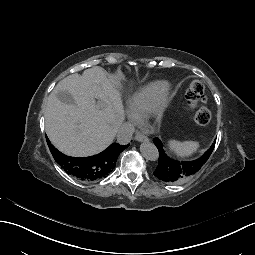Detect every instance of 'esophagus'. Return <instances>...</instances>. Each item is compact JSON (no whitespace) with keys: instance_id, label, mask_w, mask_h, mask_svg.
I'll return each mask as SVG.
<instances>
[{"instance_id":"34e87169","label":"esophagus","mask_w":255,"mask_h":255,"mask_svg":"<svg viewBox=\"0 0 255 255\" xmlns=\"http://www.w3.org/2000/svg\"><path fill=\"white\" fill-rule=\"evenodd\" d=\"M135 140L139 141V142H148L149 141L148 137H146L145 135H143L141 133L136 134Z\"/></svg>"}]
</instances>
